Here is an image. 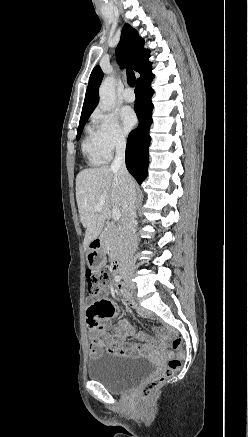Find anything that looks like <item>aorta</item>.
<instances>
[{
  "label": "aorta",
  "instance_id": "aorta-1",
  "mask_svg": "<svg viewBox=\"0 0 248 437\" xmlns=\"http://www.w3.org/2000/svg\"><path fill=\"white\" fill-rule=\"evenodd\" d=\"M99 105L104 111H110L116 103L114 79L107 77L99 88Z\"/></svg>",
  "mask_w": 248,
  "mask_h": 437
}]
</instances>
